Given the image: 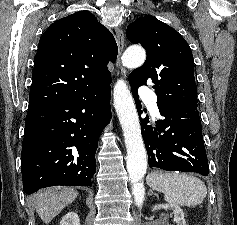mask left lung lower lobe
Instances as JSON below:
<instances>
[{"label": "left lung lower lobe", "instance_id": "obj_1", "mask_svg": "<svg viewBox=\"0 0 237 225\" xmlns=\"http://www.w3.org/2000/svg\"><path fill=\"white\" fill-rule=\"evenodd\" d=\"M132 94L141 116L137 88L132 87ZM157 106L164 118L158 120L155 127L148 125L149 117H140L149 166L207 176L209 166L197 103L165 105L157 102Z\"/></svg>", "mask_w": 237, "mask_h": 225}]
</instances>
